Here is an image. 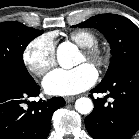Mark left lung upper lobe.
I'll return each instance as SVG.
<instances>
[{
    "instance_id": "5c2ea615",
    "label": "left lung upper lobe",
    "mask_w": 139,
    "mask_h": 139,
    "mask_svg": "<svg viewBox=\"0 0 139 139\" xmlns=\"http://www.w3.org/2000/svg\"><path fill=\"white\" fill-rule=\"evenodd\" d=\"M74 27H93L103 33L112 58L100 84L110 82L128 65L139 62V28L129 19L115 14H100Z\"/></svg>"
}]
</instances>
